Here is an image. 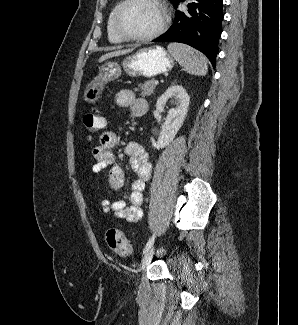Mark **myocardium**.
I'll return each mask as SVG.
<instances>
[{
    "label": "myocardium",
    "mask_w": 298,
    "mask_h": 325,
    "mask_svg": "<svg viewBox=\"0 0 298 325\" xmlns=\"http://www.w3.org/2000/svg\"><path fill=\"white\" fill-rule=\"evenodd\" d=\"M136 2H147V3L151 4L152 6H154L156 8V10L158 11V13L160 15V22H159L158 27L155 30H153L151 33L141 36V37H132V36L127 35L125 32L122 31V29L120 28V25H119V21H120V18L122 16L124 10L130 4H133ZM166 24H167L166 10L159 0H126L120 4V6L118 7L116 14L114 16V19H113V29H114L116 35L124 42L142 43V42L151 41V40L155 39L156 37H158L164 31Z\"/></svg>",
    "instance_id": "myocardium-1"
}]
</instances>
